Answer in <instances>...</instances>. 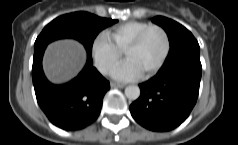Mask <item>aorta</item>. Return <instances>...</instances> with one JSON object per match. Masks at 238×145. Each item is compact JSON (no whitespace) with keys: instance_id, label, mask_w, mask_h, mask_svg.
<instances>
[{"instance_id":"aorta-1","label":"aorta","mask_w":238,"mask_h":145,"mask_svg":"<svg viewBox=\"0 0 238 145\" xmlns=\"http://www.w3.org/2000/svg\"><path fill=\"white\" fill-rule=\"evenodd\" d=\"M125 95L129 100H136L140 96V88L136 85H129L125 88Z\"/></svg>"}]
</instances>
